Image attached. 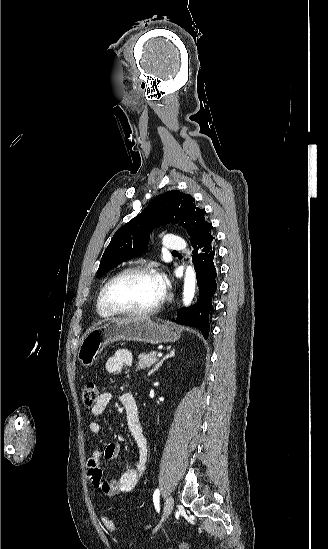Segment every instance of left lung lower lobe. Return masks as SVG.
I'll return each mask as SVG.
<instances>
[{"label":"left lung lower lobe","instance_id":"obj_1","mask_svg":"<svg viewBox=\"0 0 328 549\" xmlns=\"http://www.w3.org/2000/svg\"><path fill=\"white\" fill-rule=\"evenodd\" d=\"M192 258L199 286V300L196 305L178 310L177 319L181 325L199 328L205 338L210 331L209 313L212 309V298L217 290V252L214 248V237L208 236L193 245Z\"/></svg>","mask_w":328,"mask_h":549}]
</instances>
